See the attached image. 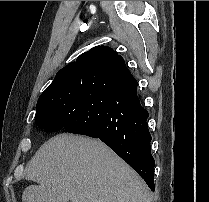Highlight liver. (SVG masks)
<instances>
[{"mask_svg":"<svg viewBox=\"0 0 209 202\" xmlns=\"http://www.w3.org/2000/svg\"><path fill=\"white\" fill-rule=\"evenodd\" d=\"M23 202H151L144 181L99 140L61 133L29 161Z\"/></svg>","mask_w":209,"mask_h":202,"instance_id":"6515ba94","label":"liver"}]
</instances>
